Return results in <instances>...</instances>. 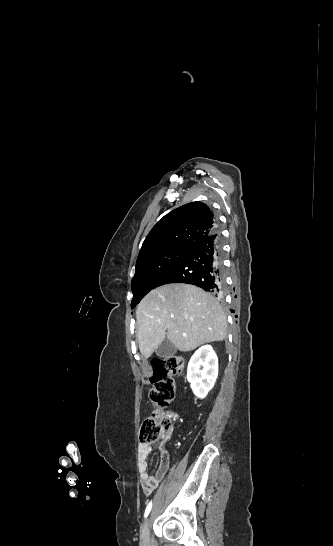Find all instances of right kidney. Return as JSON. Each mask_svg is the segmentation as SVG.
I'll return each mask as SVG.
<instances>
[{
	"label": "right kidney",
	"instance_id": "obj_1",
	"mask_svg": "<svg viewBox=\"0 0 333 546\" xmlns=\"http://www.w3.org/2000/svg\"><path fill=\"white\" fill-rule=\"evenodd\" d=\"M202 367V369H201ZM218 376V358L209 345L200 347L187 367V380L196 397L204 399L213 388Z\"/></svg>",
	"mask_w": 333,
	"mask_h": 546
}]
</instances>
